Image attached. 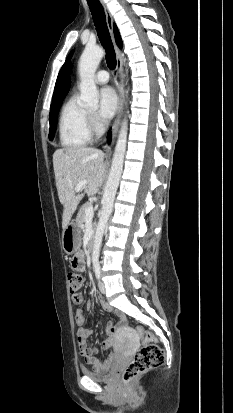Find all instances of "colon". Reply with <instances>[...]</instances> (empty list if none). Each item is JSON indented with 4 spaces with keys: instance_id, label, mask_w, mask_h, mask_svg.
Here are the masks:
<instances>
[{
    "instance_id": "colon-1",
    "label": "colon",
    "mask_w": 233,
    "mask_h": 413,
    "mask_svg": "<svg viewBox=\"0 0 233 413\" xmlns=\"http://www.w3.org/2000/svg\"><path fill=\"white\" fill-rule=\"evenodd\" d=\"M69 289L72 294L79 291L83 284V277L75 271L68 273ZM138 333L144 338V345L134 356L133 360L122 372L124 381H130L138 375L160 366L164 362V351L156 343L153 334L146 332L143 328H138Z\"/></svg>"
}]
</instances>
